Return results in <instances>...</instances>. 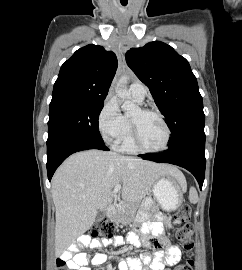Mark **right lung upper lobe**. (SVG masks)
Here are the masks:
<instances>
[{
    "label": "right lung upper lobe",
    "instance_id": "obj_1",
    "mask_svg": "<svg viewBox=\"0 0 242 270\" xmlns=\"http://www.w3.org/2000/svg\"><path fill=\"white\" fill-rule=\"evenodd\" d=\"M116 55L102 46L78 49L62 66L50 106L104 102L117 69Z\"/></svg>",
    "mask_w": 242,
    "mask_h": 270
}]
</instances>
